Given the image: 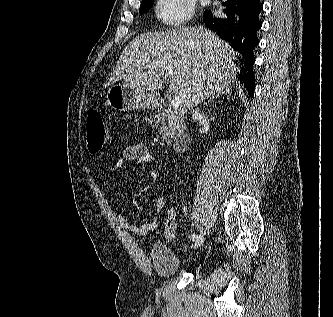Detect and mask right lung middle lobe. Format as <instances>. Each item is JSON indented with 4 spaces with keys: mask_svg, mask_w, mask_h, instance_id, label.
Masks as SVG:
<instances>
[{
    "mask_svg": "<svg viewBox=\"0 0 333 317\" xmlns=\"http://www.w3.org/2000/svg\"><path fill=\"white\" fill-rule=\"evenodd\" d=\"M154 0H145L141 2V6H140V12L141 13H146L148 12V10L150 9V7L152 6Z\"/></svg>",
    "mask_w": 333,
    "mask_h": 317,
    "instance_id": "right-lung-middle-lobe-1",
    "label": "right lung middle lobe"
}]
</instances>
